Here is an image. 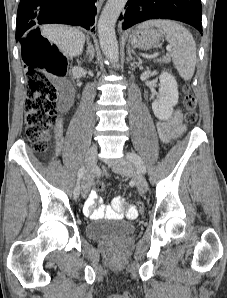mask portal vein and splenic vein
<instances>
[{"mask_svg": "<svg viewBox=\"0 0 227 298\" xmlns=\"http://www.w3.org/2000/svg\"><path fill=\"white\" fill-rule=\"evenodd\" d=\"M167 50L168 51H171V46H167Z\"/></svg>", "mask_w": 227, "mask_h": 298, "instance_id": "portal-vein-and-splenic-vein-1", "label": "portal vein and splenic vein"}]
</instances>
